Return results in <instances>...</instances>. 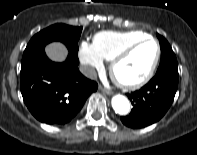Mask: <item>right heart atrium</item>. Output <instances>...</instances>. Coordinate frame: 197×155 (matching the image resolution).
I'll use <instances>...</instances> for the list:
<instances>
[{
    "label": "right heart atrium",
    "instance_id": "1",
    "mask_svg": "<svg viewBox=\"0 0 197 155\" xmlns=\"http://www.w3.org/2000/svg\"><path fill=\"white\" fill-rule=\"evenodd\" d=\"M78 54L87 76H91L94 70L103 68V58L96 51L93 44L86 41L81 42Z\"/></svg>",
    "mask_w": 197,
    "mask_h": 155
}]
</instances>
